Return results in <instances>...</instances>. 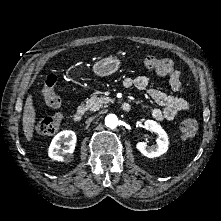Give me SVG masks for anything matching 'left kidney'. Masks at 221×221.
<instances>
[{"mask_svg": "<svg viewBox=\"0 0 221 221\" xmlns=\"http://www.w3.org/2000/svg\"><path fill=\"white\" fill-rule=\"evenodd\" d=\"M145 127L157 134L158 138L156 140V145L147 146L145 142H138L136 148L148 158L159 157L166 153L169 144L167 133L153 120H146Z\"/></svg>", "mask_w": 221, "mask_h": 221, "instance_id": "left-kidney-1", "label": "left kidney"}]
</instances>
